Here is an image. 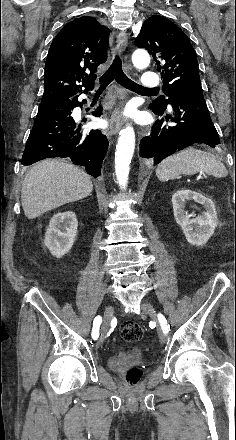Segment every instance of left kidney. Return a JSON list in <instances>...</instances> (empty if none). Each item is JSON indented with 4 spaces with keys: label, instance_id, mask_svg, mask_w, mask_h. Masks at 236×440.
I'll list each match as a JSON object with an SVG mask.
<instances>
[{
    "label": "left kidney",
    "instance_id": "5707ae66",
    "mask_svg": "<svg viewBox=\"0 0 236 440\" xmlns=\"http://www.w3.org/2000/svg\"><path fill=\"white\" fill-rule=\"evenodd\" d=\"M189 200H194L203 205L205 212L198 217L189 215L185 211L186 202ZM172 205L176 223L181 226L186 240L191 245H205L218 225L216 207L213 201L192 190H178L172 195Z\"/></svg>",
    "mask_w": 236,
    "mask_h": 440
}]
</instances>
